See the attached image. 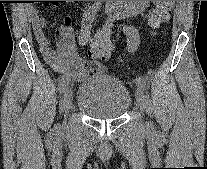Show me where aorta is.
Here are the masks:
<instances>
[{
  "instance_id": "obj_1",
  "label": "aorta",
  "mask_w": 207,
  "mask_h": 169,
  "mask_svg": "<svg viewBox=\"0 0 207 169\" xmlns=\"http://www.w3.org/2000/svg\"><path fill=\"white\" fill-rule=\"evenodd\" d=\"M133 1H109L111 10L119 13L125 14L131 9Z\"/></svg>"
}]
</instances>
